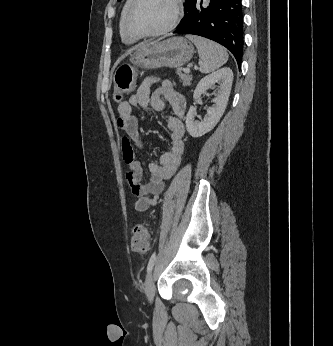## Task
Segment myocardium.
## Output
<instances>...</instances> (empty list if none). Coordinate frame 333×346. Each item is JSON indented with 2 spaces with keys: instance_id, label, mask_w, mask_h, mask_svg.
I'll return each mask as SVG.
<instances>
[{
  "instance_id": "1",
  "label": "myocardium",
  "mask_w": 333,
  "mask_h": 346,
  "mask_svg": "<svg viewBox=\"0 0 333 346\" xmlns=\"http://www.w3.org/2000/svg\"><path fill=\"white\" fill-rule=\"evenodd\" d=\"M140 2V0H132L131 4L128 7V10L126 12L125 18H124V30L126 34L133 38H142V37H158L164 34L169 33L173 29L176 28V26L179 24L182 15H183V1L182 0H172L174 5V16L172 21L168 26L165 28L154 31V32H140L136 31L131 27V17L133 14V11L137 4Z\"/></svg>"
}]
</instances>
